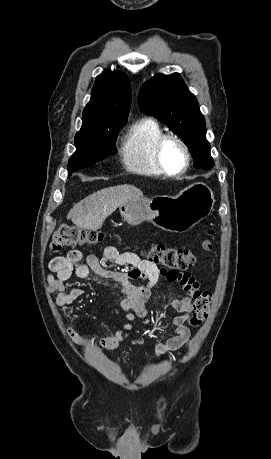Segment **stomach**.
<instances>
[{"mask_svg": "<svg viewBox=\"0 0 271 459\" xmlns=\"http://www.w3.org/2000/svg\"><path fill=\"white\" fill-rule=\"evenodd\" d=\"M214 202L209 186L192 184L177 196H156L153 200L135 196L119 206V212L124 222L131 226L148 220L157 228L183 233L210 216Z\"/></svg>", "mask_w": 271, "mask_h": 459, "instance_id": "1", "label": "stomach"}]
</instances>
